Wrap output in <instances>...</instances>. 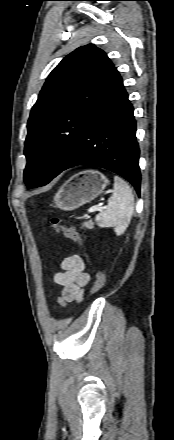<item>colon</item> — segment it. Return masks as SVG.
Returning a JSON list of instances; mask_svg holds the SVG:
<instances>
[{
	"label": "colon",
	"instance_id": "colon-1",
	"mask_svg": "<svg viewBox=\"0 0 174 440\" xmlns=\"http://www.w3.org/2000/svg\"><path fill=\"white\" fill-rule=\"evenodd\" d=\"M49 226L56 232L62 233L66 238L72 240L77 244H81V236L77 230L72 227L65 225L57 217H50L48 220ZM105 276L103 272L97 271L95 273V280L92 286V294H97L104 286Z\"/></svg>",
	"mask_w": 174,
	"mask_h": 440
}]
</instances>
